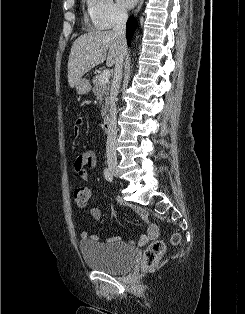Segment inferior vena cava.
<instances>
[{"mask_svg":"<svg viewBox=\"0 0 245 314\" xmlns=\"http://www.w3.org/2000/svg\"><path fill=\"white\" fill-rule=\"evenodd\" d=\"M128 19V14L125 10L117 11L115 15V25L113 27V33L116 36L120 44L119 56L115 62L114 77L111 86V102H110V121L108 127L106 154L107 161L117 162V108L116 101L119 92L121 80H122V66L124 56L127 50L126 43V22Z\"/></svg>","mask_w":245,"mask_h":314,"instance_id":"602c4592","label":"inferior vena cava"}]
</instances>
